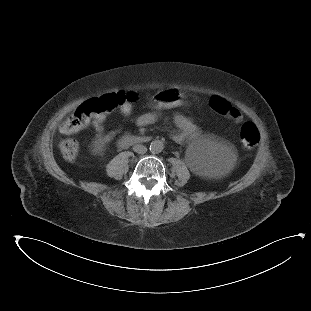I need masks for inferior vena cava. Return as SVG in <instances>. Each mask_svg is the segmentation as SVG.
I'll return each instance as SVG.
<instances>
[{"label": "inferior vena cava", "instance_id": "inferior-vena-cava-1", "mask_svg": "<svg viewBox=\"0 0 311 311\" xmlns=\"http://www.w3.org/2000/svg\"><path fill=\"white\" fill-rule=\"evenodd\" d=\"M133 151L138 154H145L147 152V148L144 145H135L133 147Z\"/></svg>", "mask_w": 311, "mask_h": 311}]
</instances>
